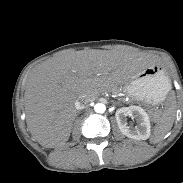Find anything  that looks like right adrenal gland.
<instances>
[{"instance_id": "1", "label": "right adrenal gland", "mask_w": 183, "mask_h": 183, "mask_svg": "<svg viewBox=\"0 0 183 183\" xmlns=\"http://www.w3.org/2000/svg\"><path fill=\"white\" fill-rule=\"evenodd\" d=\"M79 114H80V111H77L76 116H78Z\"/></svg>"}]
</instances>
